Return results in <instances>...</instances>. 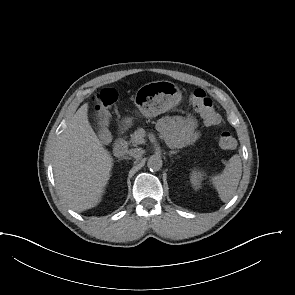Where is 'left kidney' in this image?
Returning <instances> with one entry per match:
<instances>
[{
	"label": "left kidney",
	"instance_id": "left-kidney-1",
	"mask_svg": "<svg viewBox=\"0 0 295 295\" xmlns=\"http://www.w3.org/2000/svg\"><path fill=\"white\" fill-rule=\"evenodd\" d=\"M202 176H203L202 172L198 170H193L191 172L190 181L195 189L200 188L201 180L203 178Z\"/></svg>",
	"mask_w": 295,
	"mask_h": 295
}]
</instances>
